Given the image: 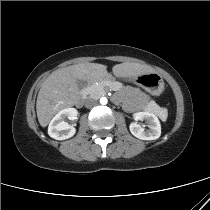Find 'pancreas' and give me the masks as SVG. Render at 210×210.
<instances>
[{
  "label": "pancreas",
  "mask_w": 210,
  "mask_h": 210,
  "mask_svg": "<svg viewBox=\"0 0 210 210\" xmlns=\"http://www.w3.org/2000/svg\"><path fill=\"white\" fill-rule=\"evenodd\" d=\"M107 86L113 90H119L122 87V84L116 81H108L106 83L92 84L88 88V94L90 97L99 98L106 93ZM146 108L148 111H158L160 109L155 102H150Z\"/></svg>",
  "instance_id": "obj_1"
}]
</instances>
